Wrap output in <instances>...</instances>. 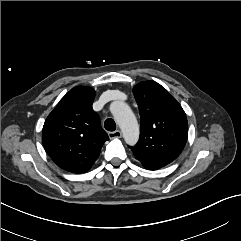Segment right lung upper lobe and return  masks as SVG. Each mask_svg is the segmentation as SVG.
<instances>
[{
  "label": "right lung upper lobe",
  "instance_id": "1",
  "mask_svg": "<svg viewBox=\"0 0 241 241\" xmlns=\"http://www.w3.org/2000/svg\"><path fill=\"white\" fill-rule=\"evenodd\" d=\"M95 90L72 88L47 117L42 142L50 158L63 170L80 174L98 159L109 139L92 109Z\"/></svg>",
  "mask_w": 241,
  "mask_h": 241
}]
</instances>
